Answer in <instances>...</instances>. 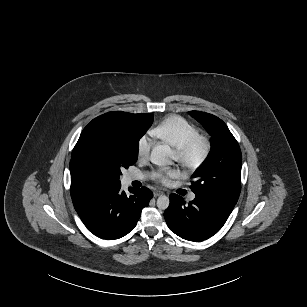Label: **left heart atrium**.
I'll return each instance as SVG.
<instances>
[{"label": "left heart atrium", "mask_w": 307, "mask_h": 307, "mask_svg": "<svg viewBox=\"0 0 307 307\" xmlns=\"http://www.w3.org/2000/svg\"><path fill=\"white\" fill-rule=\"evenodd\" d=\"M153 179L162 184H168L172 179L179 178L181 172L174 166H156L151 173Z\"/></svg>", "instance_id": "obj_1"}]
</instances>
